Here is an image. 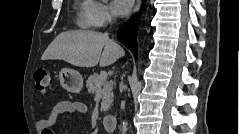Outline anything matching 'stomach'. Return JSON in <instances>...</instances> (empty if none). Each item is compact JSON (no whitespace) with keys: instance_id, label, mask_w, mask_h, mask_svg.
I'll return each mask as SVG.
<instances>
[{"instance_id":"stomach-1","label":"stomach","mask_w":239,"mask_h":134,"mask_svg":"<svg viewBox=\"0 0 239 134\" xmlns=\"http://www.w3.org/2000/svg\"><path fill=\"white\" fill-rule=\"evenodd\" d=\"M61 85L69 92L79 93L83 88V78L81 74L70 68H63L59 72Z\"/></svg>"}]
</instances>
